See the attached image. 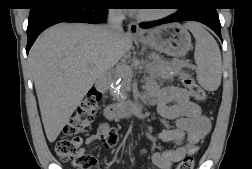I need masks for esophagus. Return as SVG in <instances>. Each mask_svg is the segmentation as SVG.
<instances>
[{
	"mask_svg": "<svg viewBox=\"0 0 252 169\" xmlns=\"http://www.w3.org/2000/svg\"><path fill=\"white\" fill-rule=\"evenodd\" d=\"M128 32L132 36H140L142 32L140 31L138 24L136 22H130L128 24Z\"/></svg>",
	"mask_w": 252,
	"mask_h": 169,
	"instance_id": "34e87169",
	"label": "esophagus"
}]
</instances>
